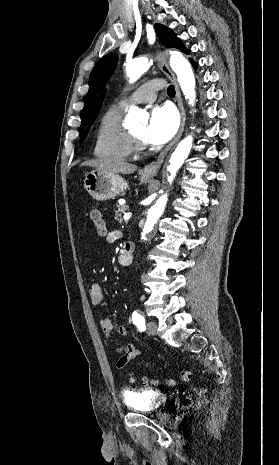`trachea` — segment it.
Returning a JSON list of instances; mask_svg holds the SVG:
<instances>
[{
    "label": "trachea",
    "mask_w": 279,
    "mask_h": 465,
    "mask_svg": "<svg viewBox=\"0 0 279 465\" xmlns=\"http://www.w3.org/2000/svg\"><path fill=\"white\" fill-rule=\"evenodd\" d=\"M167 93H168V95L171 96V97L175 96V88H174L173 85H170V86L168 87Z\"/></svg>",
    "instance_id": "trachea-1"
}]
</instances>
